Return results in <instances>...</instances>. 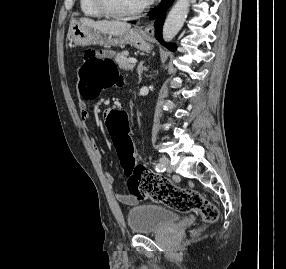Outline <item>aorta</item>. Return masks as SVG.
<instances>
[{
	"mask_svg": "<svg viewBox=\"0 0 286 269\" xmlns=\"http://www.w3.org/2000/svg\"><path fill=\"white\" fill-rule=\"evenodd\" d=\"M190 0H178L170 10L164 26L163 38L171 41L182 28L189 11Z\"/></svg>",
	"mask_w": 286,
	"mask_h": 269,
	"instance_id": "762f6f07",
	"label": "aorta"
}]
</instances>
